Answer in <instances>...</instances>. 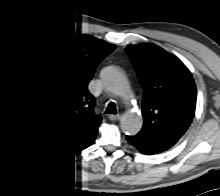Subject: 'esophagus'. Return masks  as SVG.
Here are the masks:
<instances>
[{"label":"esophagus","mask_w":220,"mask_h":196,"mask_svg":"<svg viewBox=\"0 0 220 196\" xmlns=\"http://www.w3.org/2000/svg\"><path fill=\"white\" fill-rule=\"evenodd\" d=\"M120 118V114L111 115L112 120H117Z\"/></svg>","instance_id":"esophagus-1"}]
</instances>
